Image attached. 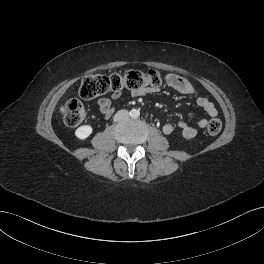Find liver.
Masks as SVG:
<instances>
[{
  "instance_id": "6515ba94",
  "label": "liver",
  "mask_w": 264,
  "mask_h": 264,
  "mask_svg": "<svg viewBox=\"0 0 264 264\" xmlns=\"http://www.w3.org/2000/svg\"><path fill=\"white\" fill-rule=\"evenodd\" d=\"M60 112H61L62 114L65 112V108H64V106H61V107H60Z\"/></svg>"
}]
</instances>
